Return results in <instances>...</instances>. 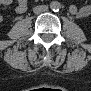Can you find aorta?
<instances>
[{
    "label": "aorta",
    "instance_id": "obj_1",
    "mask_svg": "<svg viewBox=\"0 0 91 91\" xmlns=\"http://www.w3.org/2000/svg\"><path fill=\"white\" fill-rule=\"evenodd\" d=\"M50 8L53 11H59L61 9V4L58 1H53V2L50 3Z\"/></svg>",
    "mask_w": 91,
    "mask_h": 91
}]
</instances>
